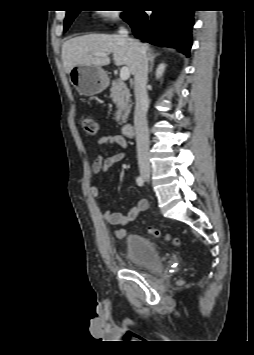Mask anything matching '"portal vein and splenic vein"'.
I'll return each instance as SVG.
<instances>
[{"label": "portal vein and splenic vein", "mask_w": 254, "mask_h": 355, "mask_svg": "<svg viewBox=\"0 0 254 355\" xmlns=\"http://www.w3.org/2000/svg\"><path fill=\"white\" fill-rule=\"evenodd\" d=\"M92 55L94 56H108L106 53H100V52H95L93 53ZM130 77V71H129V68L124 66L120 69V80L121 81H126L128 80Z\"/></svg>", "instance_id": "obj_1"}]
</instances>
